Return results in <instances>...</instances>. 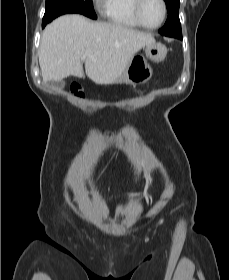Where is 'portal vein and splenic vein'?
Masks as SVG:
<instances>
[{"instance_id":"18ae733b","label":"portal vein and splenic vein","mask_w":229,"mask_h":280,"mask_svg":"<svg viewBox=\"0 0 229 280\" xmlns=\"http://www.w3.org/2000/svg\"><path fill=\"white\" fill-rule=\"evenodd\" d=\"M90 54L89 53H86L85 55H84V57H88Z\"/></svg>"}]
</instances>
